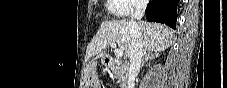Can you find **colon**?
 <instances>
[{"label": "colon", "instance_id": "colon-1", "mask_svg": "<svg viewBox=\"0 0 227 88\" xmlns=\"http://www.w3.org/2000/svg\"><path fill=\"white\" fill-rule=\"evenodd\" d=\"M95 71L97 72L98 71V68H96Z\"/></svg>", "mask_w": 227, "mask_h": 88}]
</instances>
